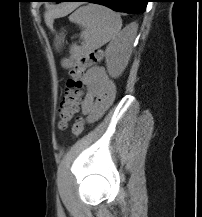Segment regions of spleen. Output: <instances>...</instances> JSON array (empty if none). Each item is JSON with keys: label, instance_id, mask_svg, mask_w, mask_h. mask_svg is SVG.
Returning a JSON list of instances; mask_svg holds the SVG:
<instances>
[{"label": "spleen", "instance_id": "1", "mask_svg": "<svg viewBox=\"0 0 202 217\" xmlns=\"http://www.w3.org/2000/svg\"><path fill=\"white\" fill-rule=\"evenodd\" d=\"M69 20L84 28L81 32V38L84 40L83 45L77 46L75 44L71 47L70 53L73 58L106 44L118 35L122 27V19L118 13L97 4L80 7L70 15ZM136 31V26L129 29V32L132 33V39Z\"/></svg>", "mask_w": 202, "mask_h": 217}]
</instances>
